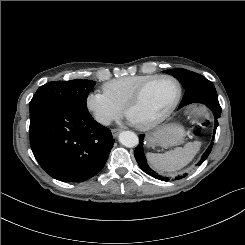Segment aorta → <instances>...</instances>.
Wrapping results in <instances>:
<instances>
[{"label": "aorta", "instance_id": "762f6f07", "mask_svg": "<svg viewBox=\"0 0 245 245\" xmlns=\"http://www.w3.org/2000/svg\"><path fill=\"white\" fill-rule=\"evenodd\" d=\"M119 142L126 147L132 148L139 143V139L132 131H122L119 134Z\"/></svg>", "mask_w": 245, "mask_h": 245}]
</instances>
